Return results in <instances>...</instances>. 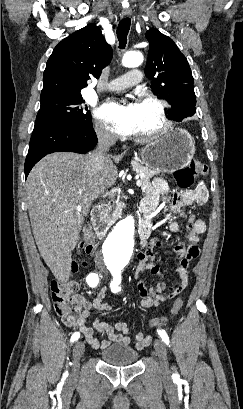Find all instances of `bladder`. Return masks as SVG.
<instances>
[{
    "label": "bladder",
    "mask_w": 243,
    "mask_h": 409,
    "mask_svg": "<svg viewBox=\"0 0 243 409\" xmlns=\"http://www.w3.org/2000/svg\"><path fill=\"white\" fill-rule=\"evenodd\" d=\"M101 360L110 366L123 367L136 363L138 360V352L129 345L114 344L100 353Z\"/></svg>",
    "instance_id": "obj_1"
}]
</instances>
